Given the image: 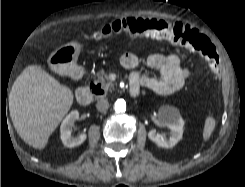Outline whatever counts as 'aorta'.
Instances as JSON below:
<instances>
[{
	"mask_svg": "<svg viewBox=\"0 0 245 187\" xmlns=\"http://www.w3.org/2000/svg\"><path fill=\"white\" fill-rule=\"evenodd\" d=\"M114 109L117 113L125 112L126 111V102L123 99H118L115 102Z\"/></svg>",
	"mask_w": 245,
	"mask_h": 187,
	"instance_id": "aorta-1",
	"label": "aorta"
}]
</instances>
